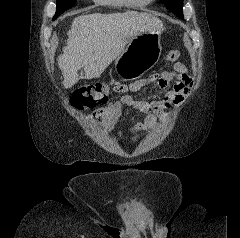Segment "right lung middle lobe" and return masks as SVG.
Listing matches in <instances>:
<instances>
[{"label": "right lung middle lobe", "mask_w": 240, "mask_h": 238, "mask_svg": "<svg viewBox=\"0 0 240 238\" xmlns=\"http://www.w3.org/2000/svg\"><path fill=\"white\" fill-rule=\"evenodd\" d=\"M76 3V0H57L56 4V13L53 17V20L56 19L60 14L73 7Z\"/></svg>", "instance_id": "right-lung-middle-lobe-1"}]
</instances>
